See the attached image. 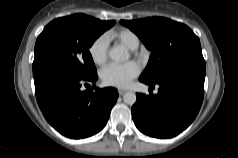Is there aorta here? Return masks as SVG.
Masks as SVG:
<instances>
[{
  "mask_svg": "<svg viewBox=\"0 0 238 158\" xmlns=\"http://www.w3.org/2000/svg\"><path fill=\"white\" fill-rule=\"evenodd\" d=\"M109 57L116 62L126 61L129 58V54L122 48H112L109 52ZM136 99L134 92H126L123 95V101L128 105L135 104Z\"/></svg>",
  "mask_w": 238,
  "mask_h": 158,
  "instance_id": "762f6f07",
  "label": "aorta"
}]
</instances>
